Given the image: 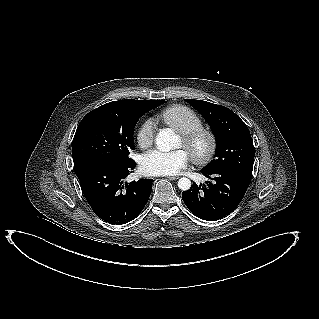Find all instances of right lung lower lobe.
<instances>
[{
  "label": "right lung lower lobe",
  "mask_w": 319,
  "mask_h": 319,
  "mask_svg": "<svg viewBox=\"0 0 319 319\" xmlns=\"http://www.w3.org/2000/svg\"><path fill=\"white\" fill-rule=\"evenodd\" d=\"M136 163L93 161L75 170L82 192L94 213L111 224H125L135 219L146 205L152 179L124 183Z\"/></svg>",
  "instance_id": "1"
}]
</instances>
